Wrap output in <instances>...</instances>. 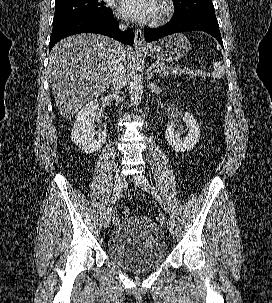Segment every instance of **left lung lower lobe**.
I'll return each mask as SVG.
<instances>
[{"label": "left lung lower lobe", "instance_id": "obj_1", "mask_svg": "<svg viewBox=\"0 0 272 303\" xmlns=\"http://www.w3.org/2000/svg\"><path fill=\"white\" fill-rule=\"evenodd\" d=\"M204 31L214 36L223 47L218 21L215 15L188 16L172 19L168 24L155 28H145L144 34L147 42H151L177 32Z\"/></svg>", "mask_w": 272, "mask_h": 303}]
</instances>
